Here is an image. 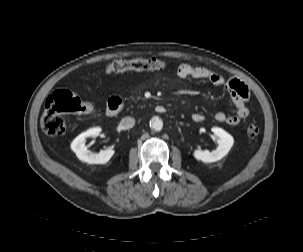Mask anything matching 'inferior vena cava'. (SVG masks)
<instances>
[{
	"label": "inferior vena cava",
	"mask_w": 303,
	"mask_h": 252,
	"mask_svg": "<svg viewBox=\"0 0 303 252\" xmlns=\"http://www.w3.org/2000/svg\"><path fill=\"white\" fill-rule=\"evenodd\" d=\"M135 124V120L132 117H124L121 120V125L125 128V129H130L134 126Z\"/></svg>",
	"instance_id": "obj_1"
}]
</instances>
